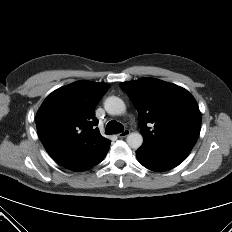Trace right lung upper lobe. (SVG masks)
<instances>
[{"mask_svg": "<svg viewBox=\"0 0 232 232\" xmlns=\"http://www.w3.org/2000/svg\"><path fill=\"white\" fill-rule=\"evenodd\" d=\"M109 86L86 80L53 91L36 115L39 138L48 154L65 166L105 155L110 140L95 126L94 109Z\"/></svg>", "mask_w": 232, "mask_h": 232, "instance_id": "cb5924a9", "label": "right lung upper lobe"}]
</instances>
